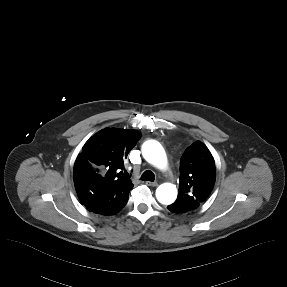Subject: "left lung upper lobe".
Returning a JSON list of instances; mask_svg holds the SVG:
<instances>
[{"instance_id":"left-lung-upper-lobe-1","label":"left lung upper lobe","mask_w":287,"mask_h":287,"mask_svg":"<svg viewBox=\"0 0 287 287\" xmlns=\"http://www.w3.org/2000/svg\"><path fill=\"white\" fill-rule=\"evenodd\" d=\"M215 171L208 148L199 141L194 142L181 157L179 193L173 204L182 212L198 208L214 187Z\"/></svg>"}]
</instances>
